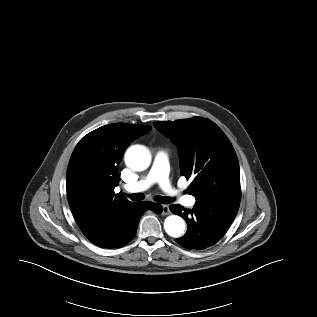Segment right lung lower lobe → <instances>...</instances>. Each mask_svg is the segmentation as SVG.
<instances>
[{
  "label": "right lung lower lobe",
  "instance_id": "98d812e1",
  "mask_svg": "<svg viewBox=\"0 0 317 317\" xmlns=\"http://www.w3.org/2000/svg\"><path fill=\"white\" fill-rule=\"evenodd\" d=\"M147 210L161 213L163 207L148 201L131 202L112 213L89 207L75 218L93 244L101 248H120L135 237L139 219Z\"/></svg>",
  "mask_w": 317,
  "mask_h": 317
}]
</instances>
